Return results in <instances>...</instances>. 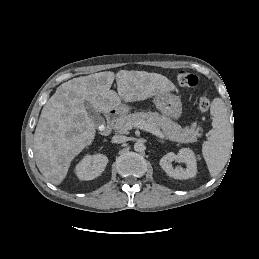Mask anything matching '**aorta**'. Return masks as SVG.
<instances>
[{"label": "aorta", "instance_id": "1", "mask_svg": "<svg viewBox=\"0 0 259 259\" xmlns=\"http://www.w3.org/2000/svg\"><path fill=\"white\" fill-rule=\"evenodd\" d=\"M134 150L136 152H143L145 150V145L143 143H141V142H136L134 144Z\"/></svg>", "mask_w": 259, "mask_h": 259}]
</instances>
